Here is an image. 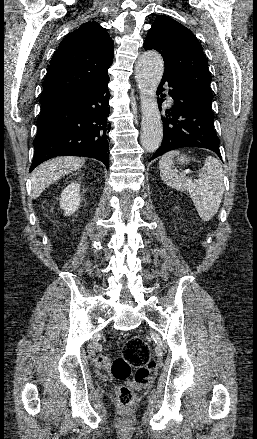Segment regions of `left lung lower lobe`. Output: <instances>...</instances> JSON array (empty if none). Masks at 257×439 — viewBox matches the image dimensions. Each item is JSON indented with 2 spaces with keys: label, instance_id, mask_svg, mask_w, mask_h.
Returning a JSON list of instances; mask_svg holds the SVG:
<instances>
[{
  "label": "left lung lower lobe",
  "instance_id": "1",
  "mask_svg": "<svg viewBox=\"0 0 257 439\" xmlns=\"http://www.w3.org/2000/svg\"><path fill=\"white\" fill-rule=\"evenodd\" d=\"M165 82H168L169 87L172 88L169 90V95L174 99L175 105L167 111L171 118L162 117L163 140L160 148L148 161L183 147L206 148L221 158L220 140L214 130L211 102L195 93L183 82L164 74L157 95L162 93V85ZM161 103L162 100L158 99L160 109Z\"/></svg>",
  "mask_w": 257,
  "mask_h": 439
}]
</instances>
